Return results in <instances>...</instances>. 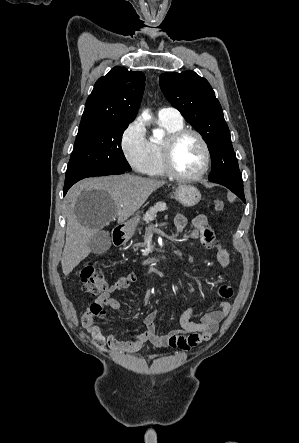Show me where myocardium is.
I'll return each mask as SVG.
<instances>
[{"label":"myocardium","mask_w":299,"mask_h":443,"mask_svg":"<svg viewBox=\"0 0 299 443\" xmlns=\"http://www.w3.org/2000/svg\"><path fill=\"white\" fill-rule=\"evenodd\" d=\"M187 135H194L199 140L204 152V160L202 167L199 170V172L193 175H185L180 173L176 169L173 163L174 150L177 144L180 142V140ZM210 161H211V152L208 143L206 142L202 134L195 129L191 128L179 129L169 134L167 138L164 140V143L162 145V162L164 169L166 173L174 179L180 181H187V182L199 180L207 173L210 166Z\"/></svg>","instance_id":"obj_1"}]
</instances>
